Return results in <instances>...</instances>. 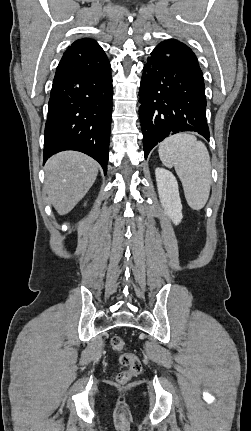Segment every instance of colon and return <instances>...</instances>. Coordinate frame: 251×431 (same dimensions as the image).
I'll use <instances>...</instances> for the list:
<instances>
[{
    "instance_id": "1",
    "label": "colon",
    "mask_w": 251,
    "mask_h": 431,
    "mask_svg": "<svg viewBox=\"0 0 251 431\" xmlns=\"http://www.w3.org/2000/svg\"><path fill=\"white\" fill-rule=\"evenodd\" d=\"M110 345L113 351L119 353V363L125 367L117 374V381L121 384L127 383L133 377L138 376L142 371V365L139 358L130 352H125V341L119 336L115 335L110 340Z\"/></svg>"
}]
</instances>
